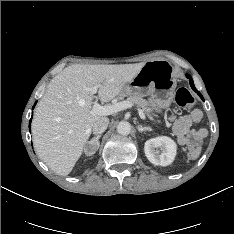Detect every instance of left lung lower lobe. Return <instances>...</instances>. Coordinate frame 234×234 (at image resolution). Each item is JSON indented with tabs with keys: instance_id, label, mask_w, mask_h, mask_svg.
Segmentation results:
<instances>
[{
	"instance_id": "0a47b994",
	"label": "left lung lower lobe",
	"mask_w": 234,
	"mask_h": 234,
	"mask_svg": "<svg viewBox=\"0 0 234 234\" xmlns=\"http://www.w3.org/2000/svg\"><path fill=\"white\" fill-rule=\"evenodd\" d=\"M187 78H189V82H190V85L193 88V90H195L199 94V96L202 98L201 94L196 90V88L194 86V83H193V80L191 79V77L189 75H187Z\"/></svg>"
}]
</instances>
